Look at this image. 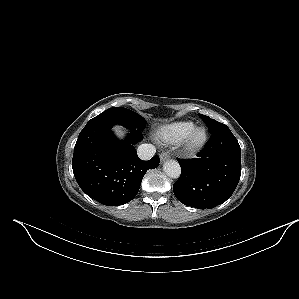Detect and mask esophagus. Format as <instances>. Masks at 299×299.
I'll return each mask as SVG.
<instances>
[{
    "mask_svg": "<svg viewBox=\"0 0 299 299\" xmlns=\"http://www.w3.org/2000/svg\"><path fill=\"white\" fill-rule=\"evenodd\" d=\"M170 158V155L168 153H161L160 154V161L164 162Z\"/></svg>",
    "mask_w": 299,
    "mask_h": 299,
    "instance_id": "1",
    "label": "esophagus"
}]
</instances>
